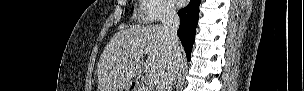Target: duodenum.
<instances>
[{"instance_id":"410a0bca","label":"duodenum","mask_w":304,"mask_h":91,"mask_svg":"<svg viewBox=\"0 0 304 91\" xmlns=\"http://www.w3.org/2000/svg\"><path fill=\"white\" fill-rule=\"evenodd\" d=\"M130 90L132 91H147V89H145L141 83L138 82H133L131 83V87Z\"/></svg>"}]
</instances>
